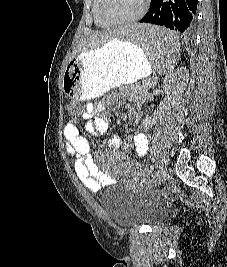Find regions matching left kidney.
<instances>
[{"label": "left kidney", "instance_id": "left-kidney-1", "mask_svg": "<svg viewBox=\"0 0 227 267\" xmlns=\"http://www.w3.org/2000/svg\"><path fill=\"white\" fill-rule=\"evenodd\" d=\"M189 81V71L186 67H180L173 72H170V77H165L163 80V90L165 92V101L163 107L175 105L176 101L180 98L185 90ZM157 120V113L150 117L148 124H154Z\"/></svg>", "mask_w": 227, "mask_h": 267}]
</instances>
